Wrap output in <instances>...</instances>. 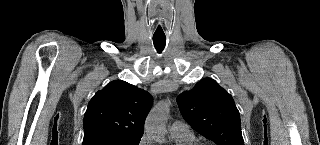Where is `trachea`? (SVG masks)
Returning a JSON list of instances; mask_svg holds the SVG:
<instances>
[{"label":"trachea","instance_id":"obj_1","mask_svg":"<svg viewBox=\"0 0 320 145\" xmlns=\"http://www.w3.org/2000/svg\"><path fill=\"white\" fill-rule=\"evenodd\" d=\"M154 47L158 53H161L166 45V38L165 37H153Z\"/></svg>","mask_w":320,"mask_h":145}]
</instances>
